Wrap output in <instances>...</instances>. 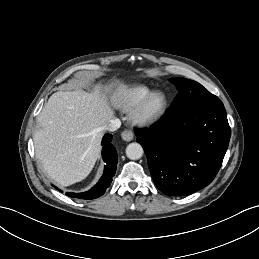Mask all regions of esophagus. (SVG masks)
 Returning a JSON list of instances; mask_svg holds the SVG:
<instances>
[{
    "label": "esophagus",
    "instance_id": "obj_1",
    "mask_svg": "<svg viewBox=\"0 0 259 259\" xmlns=\"http://www.w3.org/2000/svg\"><path fill=\"white\" fill-rule=\"evenodd\" d=\"M121 137L124 141H131L134 139V132L132 130H124L121 133Z\"/></svg>",
    "mask_w": 259,
    "mask_h": 259
}]
</instances>
